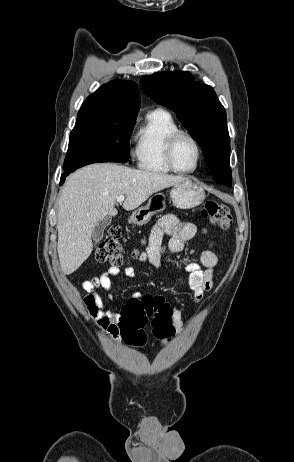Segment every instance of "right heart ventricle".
Here are the masks:
<instances>
[{
  "label": "right heart ventricle",
  "instance_id": "right-heart-ventricle-1",
  "mask_svg": "<svg viewBox=\"0 0 294 462\" xmlns=\"http://www.w3.org/2000/svg\"><path fill=\"white\" fill-rule=\"evenodd\" d=\"M179 127L170 112L163 108L149 111L136 133L135 157L144 171L156 174L172 172L165 160L168 137Z\"/></svg>",
  "mask_w": 294,
  "mask_h": 462
}]
</instances>
